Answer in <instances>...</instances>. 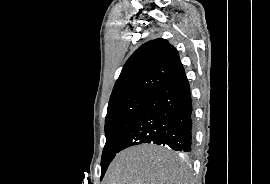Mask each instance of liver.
Wrapping results in <instances>:
<instances>
[{
    "label": "liver",
    "mask_w": 270,
    "mask_h": 184,
    "mask_svg": "<svg viewBox=\"0 0 270 184\" xmlns=\"http://www.w3.org/2000/svg\"><path fill=\"white\" fill-rule=\"evenodd\" d=\"M105 180L106 184H188L189 173L174 164L165 148L142 144L118 153Z\"/></svg>",
    "instance_id": "liver-1"
}]
</instances>
